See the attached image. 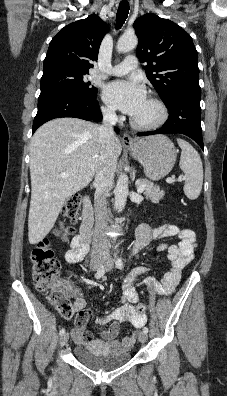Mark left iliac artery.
Segmentation results:
<instances>
[{"label":"left iliac artery","instance_id":"obj_1","mask_svg":"<svg viewBox=\"0 0 227 396\" xmlns=\"http://www.w3.org/2000/svg\"><path fill=\"white\" fill-rule=\"evenodd\" d=\"M123 266H124V265H123L122 258L118 257L117 260H116V267H117L118 269H122ZM143 332L147 334V333H148V328H147V327H144V328H143Z\"/></svg>","mask_w":227,"mask_h":396}]
</instances>
